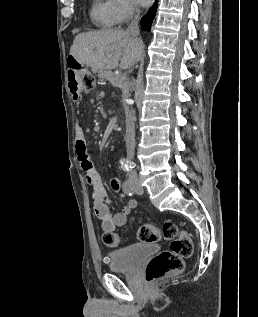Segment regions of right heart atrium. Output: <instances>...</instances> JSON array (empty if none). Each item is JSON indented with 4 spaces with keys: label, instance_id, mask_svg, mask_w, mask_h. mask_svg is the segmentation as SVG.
<instances>
[{
    "label": "right heart atrium",
    "instance_id": "obj_1",
    "mask_svg": "<svg viewBox=\"0 0 258 317\" xmlns=\"http://www.w3.org/2000/svg\"><path fill=\"white\" fill-rule=\"evenodd\" d=\"M113 26H123L134 15L136 8L131 0H112Z\"/></svg>",
    "mask_w": 258,
    "mask_h": 317
}]
</instances>
